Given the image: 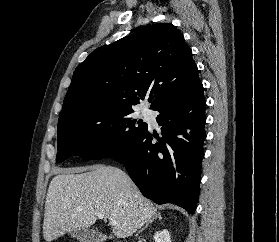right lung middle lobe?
Here are the masks:
<instances>
[{
  "instance_id": "1",
  "label": "right lung middle lobe",
  "mask_w": 279,
  "mask_h": 242,
  "mask_svg": "<svg viewBox=\"0 0 279 242\" xmlns=\"http://www.w3.org/2000/svg\"><path fill=\"white\" fill-rule=\"evenodd\" d=\"M133 110L102 118H84L58 124L56 162L70 155L86 160L110 157L127 148L148 128L141 120H133Z\"/></svg>"
}]
</instances>
